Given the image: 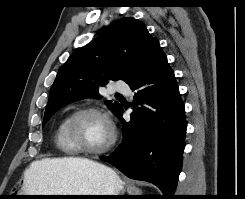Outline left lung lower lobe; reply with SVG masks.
Segmentation results:
<instances>
[{
	"mask_svg": "<svg viewBox=\"0 0 245 199\" xmlns=\"http://www.w3.org/2000/svg\"><path fill=\"white\" fill-rule=\"evenodd\" d=\"M129 86L136 90L131 121L126 123L122 118V108L117 116L124 128L123 141L112 155L101 160L129 178L155 184L163 198L170 199L182 167L187 125L174 72L162 50Z\"/></svg>",
	"mask_w": 245,
	"mask_h": 199,
	"instance_id": "1",
	"label": "left lung lower lobe"
}]
</instances>
